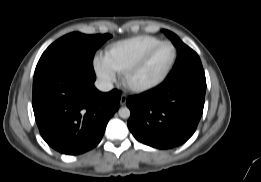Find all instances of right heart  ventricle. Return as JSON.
I'll list each match as a JSON object with an SVG mask.
<instances>
[{
	"mask_svg": "<svg viewBox=\"0 0 261 182\" xmlns=\"http://www.w3.org/2000/svg\"><path fill=\"white\" fill-rule=\"evenodd\" d=\"M161 42L159 38L140 35L111 44L106 58L117 73H124L149 48Z\"/></svg>",
	"mask_w": 261,
	"mask_h": 182,
	"instance_id": "obj_1",
	"label": "right heart ventricle"
}]
</instances>
